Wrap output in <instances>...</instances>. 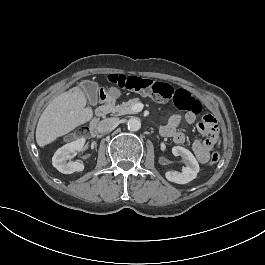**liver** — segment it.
Instances as JSON below:
<instances>
[{"mask_svg": "<svg viewBox=\"0 0 265 265\" xmlns=\"http://www.w3.org/2000/svg\"><path fill=\"white\" fill-rule=\"evenodd\" d=\"M86 102L85 94L79 87H73L52 100L39 118L36 128L37 144L44 147L90 121L93 110L85 107Z\"/></svg>", "mask_w": 265, "mask_h": 265, "instance_id": "obj_1", "label": "liver"}]
</instances>
